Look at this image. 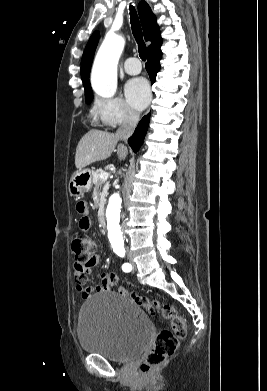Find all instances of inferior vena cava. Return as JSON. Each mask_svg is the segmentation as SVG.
I'll return each instance as SVG.
<instances>
[{"label":"inferior vena cava","instance_id":"inferior-vena-cava-1","mask_svg":"<svg viewBox=\"0 0 267 391\" xmlns=\"http://www.w3.org/2000/svg\"><path fill=\"white\" fill-rule=\"evenodd\" d=\"M138 121L139 114L131 110L128 111L122 125L116 132V137L127 142L128 138L133 134Z\"/></svg>","mask_w":267,"mask_h":391}]
</instances>
